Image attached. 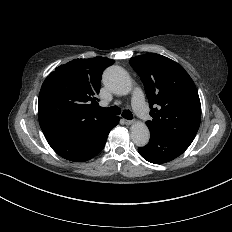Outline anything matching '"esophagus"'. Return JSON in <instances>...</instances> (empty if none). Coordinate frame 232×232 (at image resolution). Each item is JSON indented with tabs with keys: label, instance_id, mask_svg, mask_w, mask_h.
Here are the masks:
<instances>
[{
	"label": "esophagus",
	"instance_id": "34e87169",
	"mask_svg": "<svg viewBox=\"0 0 232 232\" xmlns=\"http://www.w3.org/2000/svg\"><path fill=\"white\" fill-rule=\"evenodd\" d=\"M123 121L126 125H131L133 123V121L127 119H123Z\"/></svg>",
	"mask_w": 232,
	"mask_h": 232
}]
</instances>
